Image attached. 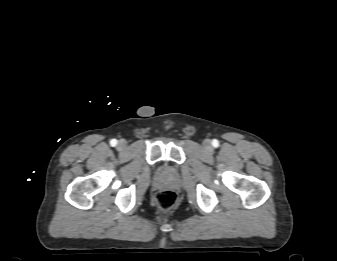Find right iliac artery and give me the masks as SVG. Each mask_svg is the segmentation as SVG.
Listing matches in <instances>:
<instances>
[{
	"instance_id": "obj_1",
	"label": "right iliac artery",
	"mask_w": 337,
	"mask_h": 261,
	"mask_svg": "<svg viewBox=\"0 0 337 261\" xmlns=\"http://www.w3.org/2000/svg\"><path fill=\"white\" fill-rule=\"evenodd\" d=\"M110 144H111V146H116L117 145V140L116 139H112L110 141Z\"/></svg>"
}]
</instances>
